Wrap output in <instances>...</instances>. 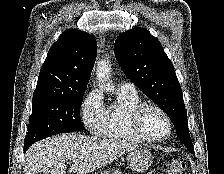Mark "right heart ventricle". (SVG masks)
I'll use <instances>...</instances> for the list:
<instances>
[{"mask_svg":"<svg viewBox=\"0 0 224 174\" xmlns=\"http://www.w3.org/2000/svg\"><path fill=\"white\" fill-rule=\"evenodd\" d=\"M142 103L136 91L118 89L116 98L104 105V115L98 134L106 139L123 142H143L133 130L131 115Z\"/></svg>","mask_w":224,"mask_h":174,"instance_id":"obj_1","label":"right heart ventricle"}]
</instances>
